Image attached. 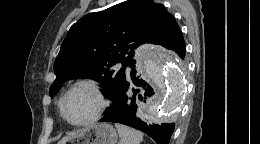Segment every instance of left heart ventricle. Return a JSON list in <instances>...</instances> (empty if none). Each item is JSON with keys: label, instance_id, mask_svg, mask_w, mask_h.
Segmentation results:
<instances>
[{"label": "left heart ventricle", "instance_id": "1", "mask_svg": "<svg viewBox=\"0 0 260 144\" xmlns=\"http://www.w3.org/2000/svg\"><path fill=\"white\" fill-rule=\"evenodd\" d=\"M97 104V99L90 89L78 88L69 95L65 102V115L72 122H82L93 115Z\"/></svg>", "mask_w": 260, "mask_h": 144}]
</instances>
